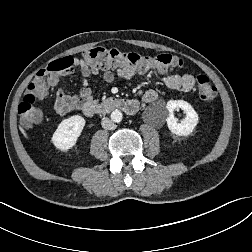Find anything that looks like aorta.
<instances>
[{
	"label": "aorta",
	"instance_id": "762f6f07",
	"mask_svg": "<svg viewBox=\"0 0 252 252\" xmlns=\"http://www.w3.org/2000/svg\"><path fill=\"white\" fill-rule=\"evenodd\" d=\"M111 119L113 122L120 123L123 119V114L120 110L116 109L111 113Z\"/></svg>",
	"mask_w": 252,
	"mask_h": 252
}]
</instances>
